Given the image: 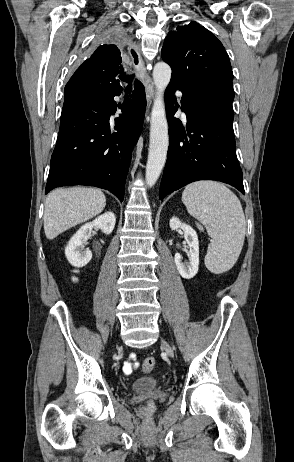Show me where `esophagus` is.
<instances>
[{
  "label": "esophagus",
  "mask_w": 294,
  "mask_h": 462,
  "mask_svg": "<svg viewBox=\"0 0 294 462\" xmlns=\"http://www.w3.org/2000/svg\"><path fill=\"white\" fill-rule=\"evenodd\" d=\"M129 54L132 60L133 67L137 71L140 80L143 82L145 89H146V97H147V103H148V108L151 105L152 99L154 97V85L153 82L148 75V72L145 67V63L142 59L141 55V50H140V45L138 44H132L129 48Z\"/></svg>",
  "instance_id": "34e87169"
}]
</instances>
